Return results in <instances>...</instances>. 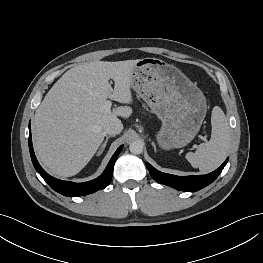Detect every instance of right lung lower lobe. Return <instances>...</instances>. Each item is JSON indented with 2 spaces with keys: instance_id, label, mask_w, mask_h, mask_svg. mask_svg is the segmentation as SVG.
<instances>
[{
  "instance_id": "obj_1",
  "label": "right lung lower lobe",
  "mask_w": 263,
  "mask_h": 263,
  "mask_svg": "<svg viewBox=\"0 0 263 263\" xmlns=\"http://www.w3.org/2000/svg\"><path fill=\"white\" fill-rule=\"evenodd\" d=\"M29 130H31L30 125H29ZM122 148H123V145H121L117 149V151L114 153L111 160L109 161L106 169L98 178L88 181V182L74 183V182H69V181L58 180L50 176L48 173H46L43 170V168L38 163L35 157V154H34V150L32 146L31 132L29 135V150H30L31 159H32V162H33V165L36 171L42 176V178L46 181V183L53 190H55L56 192L64 196H69V197L84 196V195L94 193L98 190H101L107 187L112 179L114 164Z\"/></svg>"
}]
</instances>
